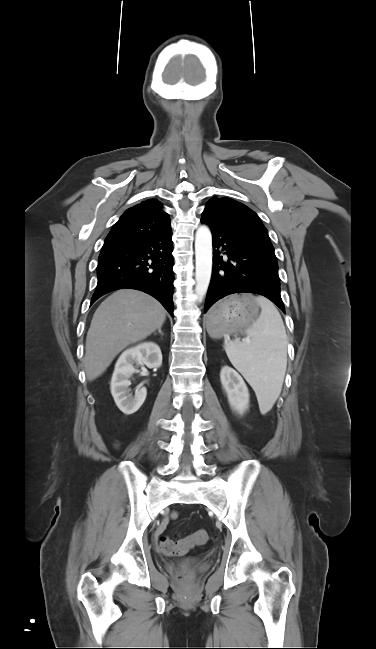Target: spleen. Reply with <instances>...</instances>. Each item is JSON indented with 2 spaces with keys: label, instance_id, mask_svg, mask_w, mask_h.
<instances>
[{
  "label": "spleen",
  "instance_id": "1",
  "mask_svg": "<svg viewBox=\"0 0 376 649\" xmlns=\"http://www.w3.org/2000/svg\"><path fill=\"white\" fill-rule=\"evenodd\" d=\"M259 318L246 330L249 342L225 340L224 349L232 365L253 387L262 414L276 402L287 366V335L280 313L264 297H256Z\"/></svg>",
  "mask_w": 376,
  "mask_h": 649
}]
</instances>
